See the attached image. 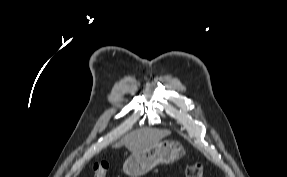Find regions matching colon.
Wrapping results in <instances>:
<instances>
[{
	"instance_id": "1",
	"label": "colon",
	"mask_w": 287,
	"mask_h": 177,
	"mask_svg": "<svg viewBox=\"0 0 287 177\" xmlns=\"http://www.w3.org/2000/svg\"><path fill=\"white\" fill-rule=\"evenodd\" d=\"M110 170V164L107 161L97 162L93 167L94 177H107ZM186 177H205L203 164L195 163L186 169Z\"/></svg>"
}]
</instances>
